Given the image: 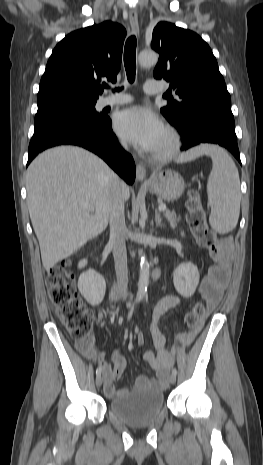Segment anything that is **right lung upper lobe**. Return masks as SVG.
I'll return each instance as SVG.
<instances>
[{
  "label": "right lung upper lobe",
  "mask_w": 263,
  "mask_h": 465,
  "mask_svg": "<svg viewBox=\"0 0 263 465\" xmlns=\"http://www.w3.org/2000/svg\"><path fill=\"white\" fill-rule=\"evenodd\" d=\"M125 37V28L111 21L68 34L48 60L37 101L59 96L97 99L102 81L116 82Z\"/></svg>",
  "instance_id": "1"
}]
</instances>
